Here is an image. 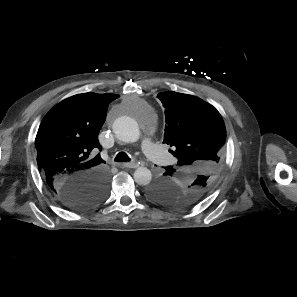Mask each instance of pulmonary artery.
<instances>
[{"label": "pulmonary artery", "instance_id": "pulmonary-artery-1", "mask_svg": "<svg viewBox=\"0 0 297 297\" xmlns=\"http://www.w3.org/2000/svg\"><path fill=\"white\" fill-rule=\"evenodd\" d=\"M141 146L144 153L153 161L159 164L170 163L171 159L162 146L151 142L149 139H144Z\"/></svg>", "mask_w": 297, "mask_h": 297}]
</instances>
